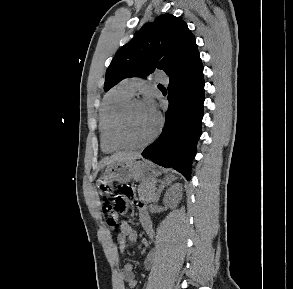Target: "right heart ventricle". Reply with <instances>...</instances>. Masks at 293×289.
<instances>
[{
	"label": "right heart ventricle",
	"mask_w": 293,
	"mask_h": 289,
	"mask_svg": "<svg viewBox=\"0 0 293 289\" xmlns=\"http://www.w3.org/2000/svg\"><path fill=\"white\" fill-rule=\"evenodd\" d=\"M131 97L132 94L120 84L110 90L104 98L99 114V136L101 148L106 153L119 149L111 140L112 126L118 111Z\"/></svg>",
	"instance_id": "e07e8e85"
}]
</instances>
